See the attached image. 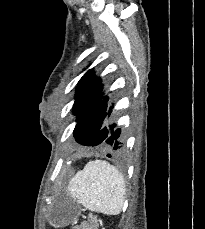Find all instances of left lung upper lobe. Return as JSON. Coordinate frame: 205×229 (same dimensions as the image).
Here are the masks:
<instances>
[{
	"label": "left lung upper lobe",
	"instance_id": "1",
	"mask_svg": "<svg viewBox=\"0 0 205 229\" xmlns=\"http://www.w3.org/2000/svg\"><path fill=\"white\" fill-rule=\"evenodd\" d=\"M101 91V79L93 75V69L87 71L78 82L73 107L77 115V124L73 135L81 145L103 147V140L96 141L99 134H102V123L106 117L108 102L107 97H102Z\"/></svg>",
	"mask_w": 205,
	"mask_h": 229
}]
</instances>
